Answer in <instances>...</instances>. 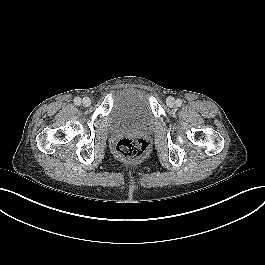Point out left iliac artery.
I'll list each match as a JSON object with an SVG mask.
<instances>
[{
    "label": "left iliac artery",
    "instance_id": "1",
    "mask_svg": "<svg viewBox=\"0 0 265 265\" xmlns=\"http://www.w3.org/2000/svg\"><path fill=\"white\" fill-rule=\"evenodd\" d=\"M175 104H176V106L180 107L182 105V100L181 99H177Z\"/></svg>",
    "mask_w": 265,
    "mask_h": 265
}]
</instances>
